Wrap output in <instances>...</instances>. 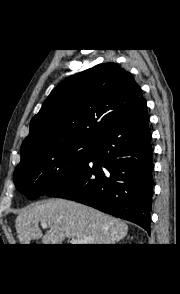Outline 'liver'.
<instances>
[{"label": "liver", "instance_id": "6515ba94", "mask_svg": "<svg viewBox=\"0 0 180 294\" xmlns=\"http://www.w3.org/2000/svg\"><path fill=\"white\" fill-rule=\"evenodd\" d=\"M39 223L49 228L44 235ZM15 228L20 244H30L32 239L62 244L65 238H78L82 244H116L128 232V225L120 219L65 199H51L23 209Z\"/></svg>", "mask_w": 180, "mask_h": 294}]
</instances>
